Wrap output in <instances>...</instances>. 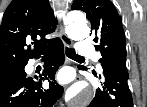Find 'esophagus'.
<instances>
[{"label":"esophagus","instance_id":"34e87169","mask_svg":"<svg viewBox=\"0 0 147 107\" xmlns=\"http://www.w3.org/2000/svg\"><path fill=\"white\" fill-rule=\"evenodd\" d=\"M60 37H61V40L63 41V43L66 45V46H72L73 45V41L65 34L64 30L62 27H60Z\"/></svg>","mask_w":147,"mask_h":107}]
</instances>
